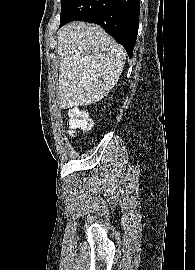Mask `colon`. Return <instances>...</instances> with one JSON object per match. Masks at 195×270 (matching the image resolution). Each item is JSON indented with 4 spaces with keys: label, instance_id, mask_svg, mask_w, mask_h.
Here are the masks:
<instances>
[{
    "label": "colon",
    "instance_id": "obj_1",
    "mask_svg": "<svg viewBox=\"0 0 195 270\" xmlns=\"http://www.w3.org/2000/svg\"><path fill=\"white\" fill-rule=\"evenodd\" d=\"M67 126L69 133L74 135L76 133L88 131L92 126V122L84 111L78 108H72L68 113Z\"/></svg>",
    "mask_w": 195,
    "mask_h": 270
}]
</instances>
